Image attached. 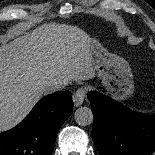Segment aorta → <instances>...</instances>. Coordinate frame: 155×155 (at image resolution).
Returning <instances> with one entry per match:
<instances>
[{
  "instance_id": "762f6f07",
  "label": "aorta",
  "mask_w": 155,
  "mask_h": 155,
  "mask_svg": "<svg viewBox=\"0 0 155 155\" xmlns=\"http://www.w3.org/2000/svg\"><path fill=\"white\" fill-rule=\"evenodd\" d=\"M75 121L78 125L87 126L93 122V114L90 108L80 107L75 111Z\"/></svg>"
}]
</instances>
